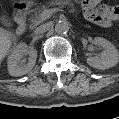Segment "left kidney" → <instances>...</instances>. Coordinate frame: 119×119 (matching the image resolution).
<instances>
[{"label": "left kidney", "instance_id": "left-kidney-1", "mask_svg": "<svg viewBox=\"0 0 119 119\" xmlns=\"http://www.w3.org/2000/svg\"><path fill=\"white\" fill-rule=\"evenodd\" d=\"M94 44L102 46L104 51H102L99 56L88 57V65L96 69L104 70L113 67L118 63L119 54L111 42L102 37H96L94 39Z\"/></svg>", "mask_w": 119, "mask_h": 119}]
</instances>
